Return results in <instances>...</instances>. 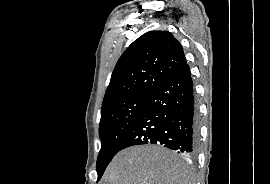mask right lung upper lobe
<instances>
[{"label":"right lung upper lobe","instance_id":"right-lung-upper-lobe-1","mask_svg":"<svg viewBox=\"0 0 270 184\" xmlns=\"http://www.w3.org/2000/svg\"><path fill=\"white\" fill-rule=\"evenodd\" d=\"M186 64L182 45L168 31H150L122 54L102 106L129 96H149Z\"/></svg>","mask_w":270,"mask_h":184}]
</instances>
